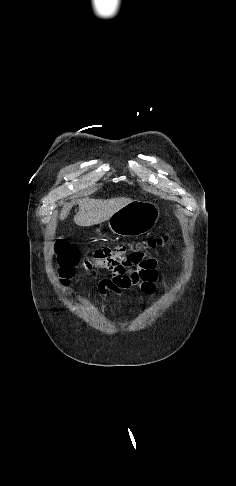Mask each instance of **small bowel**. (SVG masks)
Returning <instances> with one entry per match:
<instances>
[{"label": "small bowel", "mask_w": 236, "mask_h": 486, "mask_svg": "<svg viewBox=\"0 0 236 486\" xmlns=\"http://www.w3.org/2000/svg\"><path fill=\"white\" fill-rule=\"evenodd\" d=\"M157 281V261L141 256L123 263L114 270L111 278L102 279L98 291L103 301H106L109 294L121 297L125 290L132 287H139L144 294L151 296L156 292ZM108 308L114 311L109 305Z\"/></svg>", "instance_id": "c3829d8e"}]
</instances>
